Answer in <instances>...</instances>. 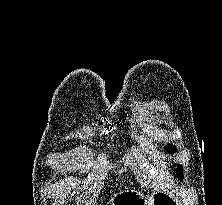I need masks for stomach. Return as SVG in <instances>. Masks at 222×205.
Segmentation results:
<instances>
[{"instance_id":"stomach-1","label":"stomach","mask_w":222,"mask_h":205,"mask_svg":"<svg viewBox=\"0 0 222 205\" xmlns=\"http://www.w3.org/2000/svg\"><path fill=\"white\" fill-rule=\"evenodd\" d=\"M109 203L110 205H179L178 200L170 193L156 191L146 197L134 190L114 194Z\"/></svg>"}]
</instances>
